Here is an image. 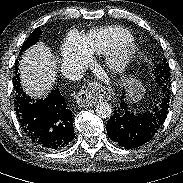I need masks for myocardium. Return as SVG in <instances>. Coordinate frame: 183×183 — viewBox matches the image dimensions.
Masks as SVG:
<instances>
[{
    "mask_svg": "<svg viewBox=\"0 0 183 183\" xmlns=\"http://www.w3.org/2000/svg\"><path fill=\"white\" fill-rule=\"evenodd\" d=\"M135 53L136 47L134 44L129 42L123 44L107 58L108 70L114 74L124 72L131 63Z\"/></svg>",
    "mask_w": 183,
    "mask_h": 183,
    "instance_id": "obj_1",
    "label": "myocardium"
}]
</instances>
